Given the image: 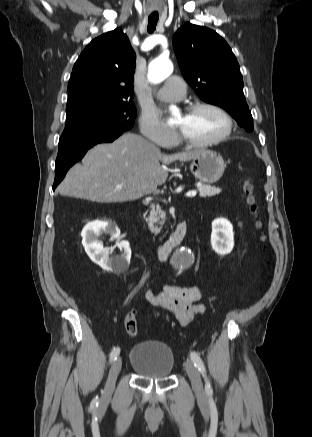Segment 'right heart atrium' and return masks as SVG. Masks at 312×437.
I'll use <instances>...</instances> for the list:
<instances>
[{"instance_id": "obj_1", "label": "right heart atrium", "mask_w": 312, "mask_h": 437, "mask_svg": "<svg viewBox=\"0 0 312 437\" xmlns=\"http://www.w3.org/2000/svg\"><path fill=\"white\" fill-rule=\"evenodd\" d=\"M142 135L161 147L174 144L176 134L166 128L159 118L151 112H144L139 120Z\"/></svg>"}]
</instances>
